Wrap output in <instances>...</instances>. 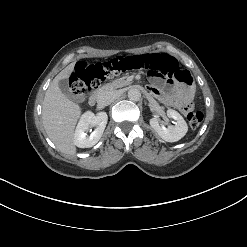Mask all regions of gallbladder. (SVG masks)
I'll return each instance as SVG.
<instances>
[{
  "label": "gallbladder",
  "instance_id": "bac80fb5",
  "mask_svg": "<svg viewBox=\"0 0 247 247\" xmlns=\"http://www.w3.org/2000/svg\"><path fill=\"white\" fill-rule=\"evenodd\" d=\"M58 85H59L61 92L70 100L74 102H78V103L85 101L86 96L84 94H75L72 91L69 85V81L67 79H61Z\"/></svg>",
  "mask_w": 247,
  "mask_h": 247
}]
</instances>
